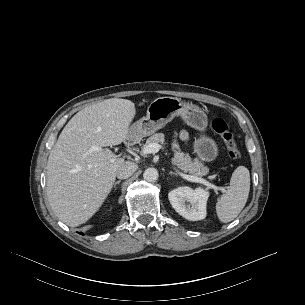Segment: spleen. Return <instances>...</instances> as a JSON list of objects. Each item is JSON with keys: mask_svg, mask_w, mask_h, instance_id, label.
Masks as SVG:
<instances>
[{"mask_svg": "<svg viewBox=\"0 0 305 305\" xmlns=\"http://www.w3.org/2000/svg\"><path fill=\"white\" fill-rule=\"evenodd\" d=\"M250 191V173L245 166L232 173L230 186L216 203V213L223 223L233 221L244 208Z\"/></svg>", "mask_w": 305, "mask_h": 305, "instance_id": "3e777b00", "label": "spleen"}]
</instances>
